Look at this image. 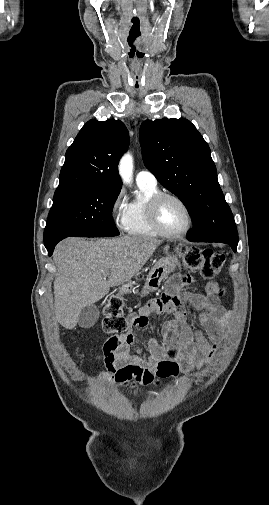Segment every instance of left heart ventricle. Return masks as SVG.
I'll return each instance as SVG.
<instances>
[{"label": "left heart ventricle", "mask_w": 269, "mask_h": 505, "mask_svg": "<svg viewBox=\"0 0 269 505\" xmlns=\"http://www.w3.org/2000/svg\"><path fill=\"white\" fill-rule=\"evenodd\" d=\"M158 217L163 228L170 232H179L187 225V214L175 200L165 199L159 206Z\"/></svg>", "instance_id": "left-heart-ventricle-1"}]
</instances>
